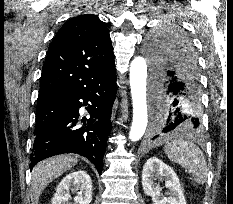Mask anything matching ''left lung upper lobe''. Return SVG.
Listing matches in <instances>:
<instances>
[{
    "label": "left lung upper lobe",
    "instance_id": "1",
    "mask_svg": "<svg viewBox=\"0 0 233 204\" xmlns=\"http://www.w3.org/2000/svg\"><path fill=\"white\" fill-rule=\"evenodd\" d=\"M146 52L153 71L164 67L171 56L181 54L193 58L197 66L191 41L177 28L168 27L152 33L146 43Z\"/></svg>",
    "mask_w": 233,
    "mask_h": 204
}]
</instances>
